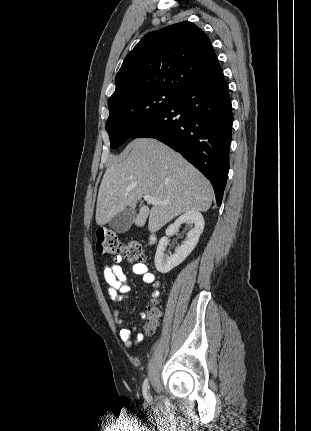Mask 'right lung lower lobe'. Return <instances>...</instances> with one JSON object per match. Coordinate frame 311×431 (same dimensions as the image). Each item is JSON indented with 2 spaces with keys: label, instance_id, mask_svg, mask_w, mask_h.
<instances>
[{
  "label": "right lung lower lobe",
  "instance_id": "1",
  "mask_svg": "<svg viewBox=\"0 0 311 431\" xmlns=\"http://www.w3.org/2000/svg\"><path fill=\"white\" fill-rule=\"evenodd\" d=\"M232 122L222 72L182 91L130 138H155L181 153L210 180L220 205L228 177Z\"/></svg>",
  "mask_w": 311,
  "mask_h": 431
}]
</instances>
